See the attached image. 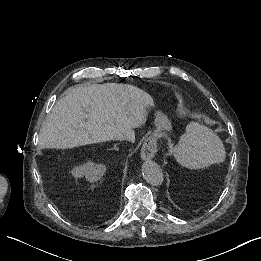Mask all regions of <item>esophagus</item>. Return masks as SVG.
<instances>
[{
  "label": "esophagus",
  "mask_w": 261,
  "mask_h": 261,
  "mask_svg": "<svg viewBox=\"0 0 261 261\" xmlns=\"http://www.w3.org/2000/svg\"><path fill=\"white\" fill-rule=\"evenodd\" d=\"M158 151L157 141L155 137H149L145 140L142 148L140 157L142 160H151L154 158Z\"/></svg>",
  "instance_id": "34e87169"
}]
</instances>
